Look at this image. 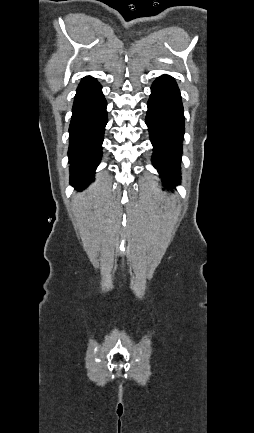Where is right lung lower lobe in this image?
Wrapping results in <instances>:
<instances>
[{
  "label": "right lung lower lobe",
  "mask_w": 254,
  "mask_h": 433,
  "mask_svg": "<svg viewBox=\"0 0 254 433\" xmlns=\"http://www.w3.org/2000/svg\"><path fill=\"white\" fill-rule=\"evenodd\" d=\"M106 100L101 85L85 77L77 88L69 128L70 181L84 189L93 181L102 156V142L107 124Z\"/></svg>",
  "instance_id": "right-lung-lower-lobe-1"
}]
</instances>
